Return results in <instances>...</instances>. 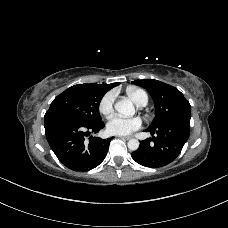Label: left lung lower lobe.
I'll use <instances>...</instances> for the list:
<instances>
[{"label":"left lung lower lobe","mask_w":228,"mask_h":228,"mask_svg":"<svg viewBox=\"0 0 228 228\" xmlns=\"http://www.w3.org/2000/svg\"><path fill=\"white\" fill-rule=\"evenodd\" d=\"M178 124L180 126H178ZM178 132H175V131ZM152 138L141 141L139 148L131 156L140 165L159 168L173 162L180 154L190 134V116L161 125L157 129H147Z\"/></svg>","instance_id":"obj_1"}]
</instances>
